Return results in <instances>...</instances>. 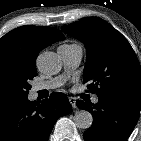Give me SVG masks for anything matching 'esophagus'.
I'll list each match as a JSON object with an SVG mask.
<instances>
[{"label":"esophagus","instance_id":"1","mask_svg":"<svg viewBox=\"0 0 141 141\" xmlns=\"http://www.w3.org/2000/svg\"><path fill=\"white\" fill-rule=\"evenodd\" d=\"M69 102L73 108L77 107L75 98L69 97Z\"/></svg>","mask_w":141,"mask_h":141}]
</instances>
